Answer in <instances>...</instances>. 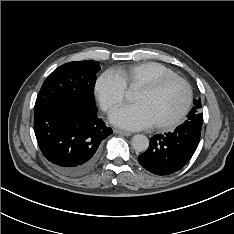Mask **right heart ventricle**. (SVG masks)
Here are the masks:
<instances>
[{
	"instance_id": "e07e8e85",
	"label": "right heart ventricle",
	"mask_w": 234,
	"mask_h": 234,
	"mask_svg": "<svg viewBox=\"0 0 234 234\" xmlns=\"http://www.w3.org/2000/svg\"><path fill=\"white\" fill-rule=\"evenodd\" d=\"M114 73L123 82L125 88L129 90L137 89L141 85L149 84L163 77L176 75L170 68L156 62L118 67Z\"/></svg>"
}]
</instances>
